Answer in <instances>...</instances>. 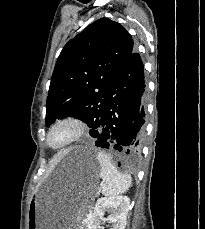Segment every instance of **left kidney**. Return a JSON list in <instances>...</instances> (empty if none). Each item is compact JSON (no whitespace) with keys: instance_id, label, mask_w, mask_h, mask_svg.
<instances>
[{"instance_id":"1","label":"left kidney","mask_w":205,"mask_h":229,"mask_svg":"<svg viewBox=\"0 0 205 229\" xmlns=\"http://www.w3.org/2000/svg\"><path fill=\"white\" fill-rule=\"evenodd\" d=\"M130 199L127 196H112L99 198L94 212L88 216L87 229H100L104 214L110 212L107 221L112 223L110 229H125Z\"/></svg>"}]
</instances>
